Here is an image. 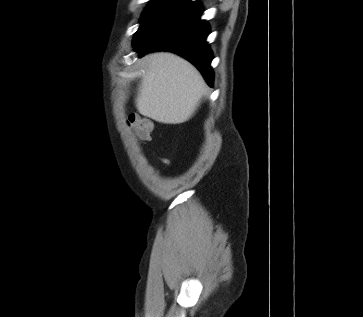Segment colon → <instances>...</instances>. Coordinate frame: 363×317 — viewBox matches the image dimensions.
I'll list each match as a JSON object with an SVG mask.
<instances>
[{
  "label": "colon",
  "instance_id": "colon-1",
  "mask_svg": "<svg viewBox=\"0 0 363 317\" xmlns=\"http://www.w3.org/2000/svg\"><path fill=\"white\" fill-rule=\"evenodd\" d=\"M127 124L132 127L137 135L142 139L147 138L152 129V122L150 119L136 114L129 115Z\"/></svg>",
  "mask_w": 363,
  "mask_h": 317
}]
</instances>
